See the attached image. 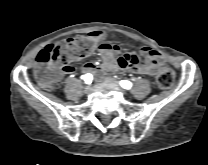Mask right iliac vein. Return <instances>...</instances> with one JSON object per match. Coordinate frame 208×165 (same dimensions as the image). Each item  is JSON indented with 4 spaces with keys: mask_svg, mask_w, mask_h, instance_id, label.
Listing matches in <instances>:
<instances>
[{
    "mask_svg": "<svg viewBox=\"0 0 208 165\" xmlns=\"http://www.w3.org/2000/svg\"><path fill=\"white\" fill-rule=\"evenodd\" d=\"M90 91H91V86L90 85L85 86L84 92L89 93Z\"/></svg>",
    "mask_w": 208,
    "mask_h": 165,
    "instance_id": "obj_1",
    "label": "right iliac vein"
}]
</instances>
